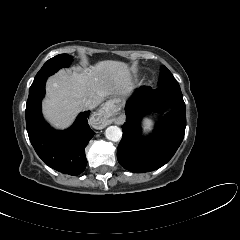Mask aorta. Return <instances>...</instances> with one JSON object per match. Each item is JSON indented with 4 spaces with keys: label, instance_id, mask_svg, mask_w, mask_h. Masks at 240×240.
<instances>
[{
    "label": "aorta",
    "instance_id": "1",
    "mask_svg": "<svg viewBox=\"0 0 240 240\" xmlns=\"http://www.w3.org/2000/svg\"><path fill=\"white\" fill-rule=\"evenodd\" d=\"M105 136L108 140L113 141V142H117L122 137V131L117 126H109L105 130Z\"/></svg>",
    "mask_w": 240,
    "mask_h": 240
}]
</instances>
